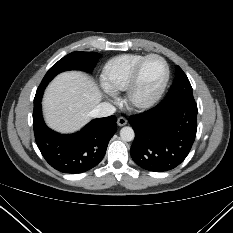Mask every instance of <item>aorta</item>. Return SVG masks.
<instances>
[{
    "mask_svg": "<svg viewBox=\"0 0 233 233\" xmlns=\"http://www.w3.org/2000/svg\"><path fill=\"white\" fill-rule=\"evenodd\" d=\"M120 137L123 141H132L135 137L134 130L129 126H125L120 130Z\"/></svg>",
    "mask_w": 233,
    "mask_h": 233,
    "instance_id": "1",
    "label": "aorta"
}]
</instances>
